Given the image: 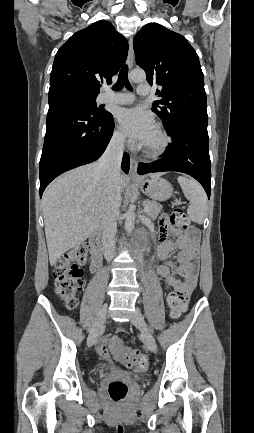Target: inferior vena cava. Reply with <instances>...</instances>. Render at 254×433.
I'll return each instance as SVG.
<instances>
[{"instance_id": "inferior-vena-cava-1", "label": "inferior vena cava", "mask_w": 254, "mask_h": 433, "mask_svg": "<svg viewBox=\"0 0 254 433\" xmlns=\"http://www.w3.org/2000/svg\"><path fill=\"white\" fill-rule=\"evenodd\" d=\"M124 140V135H114L98 163V168L105 172L109 185L108 201L102 217V246L107 261H111L115 255L117 218L121 205L120 172Z\"/></svg>"}]
</instances>
